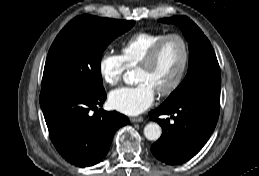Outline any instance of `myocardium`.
Segmentation results:
<instances>
[{
    "label": "myocardium",
    "mask_w": 259,
    "mask_h": 176,
    "mask_svg": "<svg viewBox=\"0 0 259 176\" xmlns=\"http://www.w3.org/2000/svg\"><path fill=\"white\" fill-rule=\"evenodd\" d=\"M171 39H176L180 42L183 50V59L182 63L180 66V69L175 77V79L165 88H161L157 90V93L160 96H168L172 94L174 91L178 89V87L181 85L188 66L190 62V49H189V44L188 41L186 40L185 37H183L180 34L176 33H171V34H166L163 36L159 41H157L153 47L149 50V52L146 54V56L141 60V62L137 65L138 68H146L154 64L156 61L158 54L163 47V45Z\"/></svg>",
    "instance_id": "1"
}]
</instances>
